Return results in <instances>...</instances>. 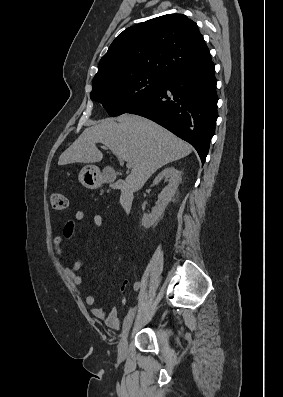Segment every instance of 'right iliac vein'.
Returning <instances> with one entry per match:
<instances>
[{
  "label": "right iliac vein",
  "instance_id": "63e3f726",
  "mask_svg": "<svg viewBox=\"0 0 283 397\" xmlns=\"http://www.w3.org/2000/svg\"><path fill=\"white\" fill-rule=\"evenodd\" d=\"M135 313H136V308H134L132 310V312L130 313V315L128 316V318L126 319L124 326H123V330L121 333V339L118 345V355L120 358H124L126 356L127 353V337H128V333L129 330L131 328L132 322L134 320L135 317Z\"/></svg>",
  "mask_w": 283,
  "mask_h": 397
}]
</instances>
